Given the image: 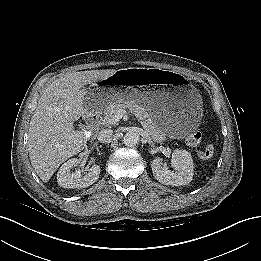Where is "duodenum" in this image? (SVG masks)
<instances>
[{"mask_svg":"<svg viewBox=\"0 0 261 261\" xmlns=\"http://www.w3.org/2000/svg\"><path fill=\"white\" fill-rule=\"evenodd\" d=\"M87 123L90 127L97 129L100 126V116L97 113H91L88 115Z\"/></svg>","mask_w":261,"mask_h":261,"instance_id":"obj_1","label":"duodenum"}]
</instances>
